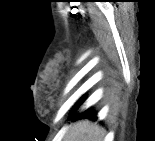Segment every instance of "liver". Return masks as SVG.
<instances>
[{
	"mask_svg": "<svg viewBox=\"0 0 155 141\" xmlns=\"http://www.w3.org/2000/svg\"><path fill=\"white\" fill-rule=\"evenodd\" d=\"M105 131L89 121L76 122L66 133L64 141H103Z\"/></svg>",
	"mask_w": 155,
	"mask_h": 141,
	"instance_id": "6515ba94",
	"label": "liver"
}]
</instances>
